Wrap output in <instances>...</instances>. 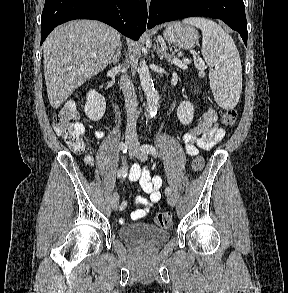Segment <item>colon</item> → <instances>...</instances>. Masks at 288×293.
Masks as SVG:
<instances>
[{
	"label": "colon",
	"instance_id": "obj_1",
	"mask_svg": "<svg viewBox=\"0 0 288 293\" xmlns=\"http://www.w3.org/2000/svg\"><path fill=\"white\" fill-rule=\"evenodd\" d=\"M237 119V111L234 109L227 110L221 116V123L224 126H233ZM54 130L66 144L75 152L81 153L85 148L84 126L78 120L77 108L74 104L65 105L53 121ZM205 165L202 156H196L191 163L194 172H200ZM155 223L163 228L172 225V216L168 212H159L155 215Z\"/></svg>",
	"mask_w": 288,
	"mask_h": 293
}]
</instances>
